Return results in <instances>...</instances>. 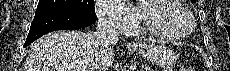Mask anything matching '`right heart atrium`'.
Wrapping results in <instances>:
<instances>
[{
    "instance_id": "right-heart-atrium-1",
    "label": "right heart atrium",
    "mask_w": 230,
    "mask_h": 71,
    "mask_svg": "<svg viewBox=\"0 0 230 71\" xmlns=\"http://www.w3.org/2000/svg\"><path fill=\"white\" fill-rule=\"evenodd\" d=\"M95 9L99 21L118 33H126L135 26L136 14L120 0H98Z\"/></svg>"
}]
</instances>
